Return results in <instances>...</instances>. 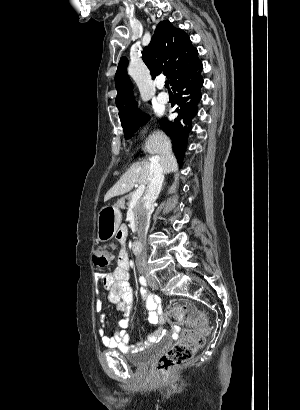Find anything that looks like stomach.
Masks as SVG:
<instances>
[{"instance_id": "stomach-1", "label": "stomach", "mask_w": 300, "mask_h": 410, "mask_svg": "<svg viewBox=\"0 0 300 410\" xmlns=\"http://www.w3.org/2000/svg\"><path fill=\"white\" fill-rule=\"evenodd\" d=\"M121 223V212L116 206L106 205L98 213V233L99 241H106L112 238Z\"/></svg>"}]
</instances>
